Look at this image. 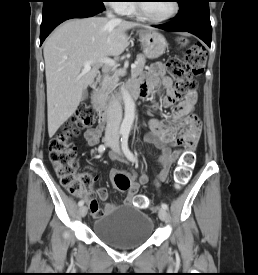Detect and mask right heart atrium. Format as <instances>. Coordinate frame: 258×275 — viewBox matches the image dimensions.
Listing matches in <instances>:
<instances>
[{"label":"right heart atrium","mask_w":258,"mask_h":275,"mask_svg":"<svg viewBox=\"0 0 258 275\" xmlns=\"http://www.w3.org/2000/svg\"><path fill=\"white\" fill-rule=\"evenodd\" d=\"M108 4L112 6L117 12L122 13L124 7L127 5V0H107Z\"/></svg>","instance_id":"d8ad5b80"}]
</instances>
